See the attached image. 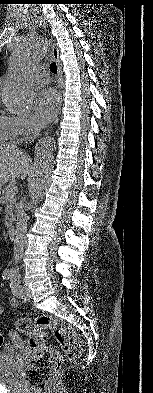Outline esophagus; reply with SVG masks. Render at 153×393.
Wrapping results in <instances>:
<instances>
[{
	"label": "esophagus",
	"instance_id": "esophagus-1",
	"mask_svg": "<svg viewBox=\"0 0 153 393\" xmlns=\"http://www.w3.org/2000/svg\"><path fill=\"white\" fill-rule=\"evenodd\" d=\"M52 58L56 62L57 65V80H58V85L60 88V104L62 102V86H63V78H62V68H61V63L59 59V51L58 48L56 47L55 43L52 44V52H51Z\"/></svg>",
	"mask_w": 153,
	"mask_h": 393
}]
</instances>
